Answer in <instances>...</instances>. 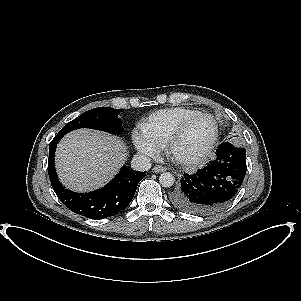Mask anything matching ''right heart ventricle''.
Listing matches in <instances>:
<instances>
[{"label":"right heart ventricle","instance_id":"obj_1","mask_svg":"<svg viewBox=\"0 0 301 301\" xmlns=\"http://www.w3.org/2000/svg\"><path fill=\"white\" fill-rule=\"evenodd\" d=\"M198 113L200 112L186 107L161 109L151 113L142 122L141 130L153 143L163 148L178 126Z\"/></svg>","mask_w":301,"mask_h":301}]
</instances>
